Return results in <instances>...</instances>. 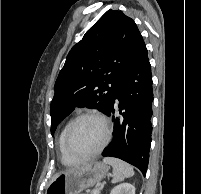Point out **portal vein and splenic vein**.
<instances>
[{
  "instance_id": "18ae733b",
  "label": "portal vein and splenic vein",
  "mask_w": 201,
  "mask_h": 194,
  "mask_svg": "<svg viewBox=\"0 0 201 194\" xmlns=\"http://www.w3.org/2000/svg\"><path fill=\"white\" fill-rule=\"evenodd\" d=\"M100 193V189L96 188L93 190V194H99Z\"/></svg>"
}]
</instances>
